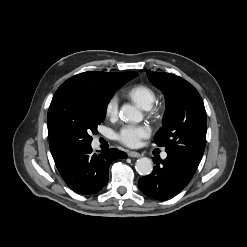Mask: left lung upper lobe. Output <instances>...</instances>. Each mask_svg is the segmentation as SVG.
Returning <instances> with one entry per match:
<instances>
[{
    "label": "left lung upper lobe",
    "instance_id": "left-lung-upper-lobe-1",
    "mask_svg": "<svg viewBox=\"0 0 247 247\" xmlns=\"http://www.w3.org/2000/svg\"><path fill=\"white\" fill-rule=\"evenodd\" d=\"M166 99L163 126L154 143L167 153L201 160L206 141V111L201 96L189 82L170 73L147 72Z\"/></svg>",
    "mask_w": 247,
    "mask_h": 247
}]
</instances>
